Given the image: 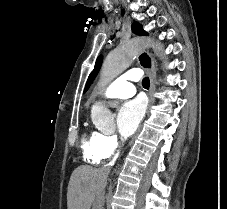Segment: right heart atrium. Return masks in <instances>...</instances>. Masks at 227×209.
<instances>
[{
  "mask_svg": "<svg viewBox=\"0 0 227 209\" xmlns=\"http://www.w3.org/2000/svg\"><path fill=\"white\" fill-rule=\"evenodd\" d=\"M103 143L106 149L113 154L120 146V140L116 135L104 134Z\"/></svg>",
  "mask_w": 227,
  "mask_h": 209,
  "instance_id": "d8ad5b80",
  "label": "right heart atrium"
}]
</instances>
